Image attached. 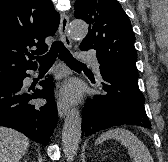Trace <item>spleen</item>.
<instances>
[{
    "label": "spleen",
    "instance_id": "obj_1",
    "mask_svg": "<svg viewBox=\"0 0 168 162\" xmlns=\"http://www.w3.org/2000/svg\"><path fill=\"white\" fill-rule=\"evenodd\" d=\"M109 139L120 141L128 149L134 162H154L146 146L131 131L123 128L110 129L97 138L96 144Z\"/></svg>",
    "mask_w": 168,
    "mask_h": 162
}]
</instances>
